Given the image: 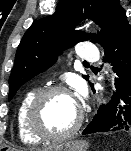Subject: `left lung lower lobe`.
Here are the masks:
<instances>
[{"mask_svg":"<svg viewBox=\"0 0 131 151\" xmlns=\"http://www.w3.org/2000/svg\"><path fill=\"white\" fill-rule=\"evenodd\" d=\"M106 59L117 77L111 101L99 107L82 134L95 132H131V33L106 49ZM92 90L95 93L93 88Z\"/></svg>","mask_w":131,"mask_h":151,"instance_id":"1","label":"left lung lower lobe"}]
</instances>
